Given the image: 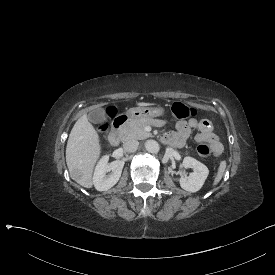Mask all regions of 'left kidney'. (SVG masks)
<instances>
[{
    "label": "left kidney",
    "mask_w": 275,
    "mask_h": 275,
    "mask_svg": "<svg viewBox=\"0 0 275 275\" xmlns=\"http://www.w3.org/2000/svg\"><path fill=\"white\" fill-rule=\"evenodd\" d=\"M183 166L185 168H192L193 173L186 177L179 179L180 186L189 192H197L203 186L208 174V168L201 162L192 157H185L183 160Z\"/></svg>",
    "instance_id": "5707ae66"
}]
</instances>
